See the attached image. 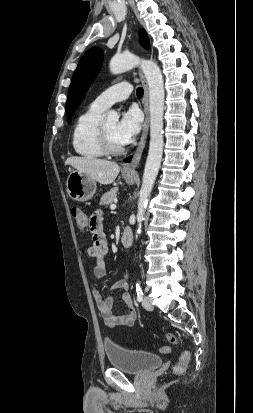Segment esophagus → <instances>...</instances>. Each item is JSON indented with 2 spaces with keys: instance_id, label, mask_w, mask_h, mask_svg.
I'll return each mask as SVG.
<instances>
[{
  "instance_id": "esophagus-1",
  "label": "esophagus",
  "mask_w": 253,
  "mask_h": 413,
  "mask_svg": "<svg viewBox=\"0 0 253 413\" xmlns=\"http://www.w3.org/2000/svg\"><path fill=\"white\" fill-rule=\"evenodd\" d=\"M140 77H141V81L144 87L143 108H144V113H145V120L143 124L142 135H141L139 144L133 154V158L131 162L127 163L123 167V172L128 173V174H135L136 172V167L141 160L142 153L146 145V140H147L148 130H149V90H148L146 79L144 75L142 74V72H140Z\"/></svg>"
}]
</instances>
